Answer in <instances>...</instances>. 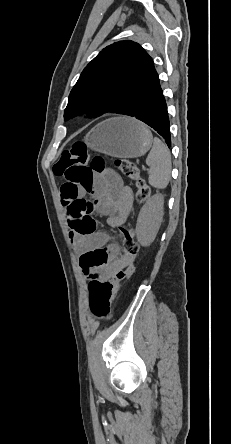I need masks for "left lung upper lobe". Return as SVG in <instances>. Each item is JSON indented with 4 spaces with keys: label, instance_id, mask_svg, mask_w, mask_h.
I'll return each instance as SVG.
<instances>
[{
    "label": "left lung upper lobe",
    "instance_id": "1",
    "mask_svg": "<svg viewBox=\"0 0 231 444\" xmlns=\"http://www.w3.org/2000/svg\"><path fill=\"white\" fill-rule=\"evenodd\" d=\"M153 66L138 43L126 40L107 46L84 68L71 90L65 120L76 113H117Z\"/></svg>",
    "mask_w": 231,
    "mask_h": 444
}]
</instances>
